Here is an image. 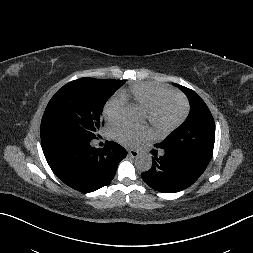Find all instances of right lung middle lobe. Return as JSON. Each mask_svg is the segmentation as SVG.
<instances>
[{
	"instance_id": "right-lung-middle-lobe-1",
	"label": "right lung middle lobe",
	"mask_w": 253,
	"mask_h": 253,
	"mask_svg": "<svg viewBox=\"0 0 253 253\" xmlns=\"http://www.w3.org/2000/svg\"><path fill=\"white\" fill-rule=\"evenodd\" d=\"M124 82L85 77L64 85L46 107L41 121V140L57 136L94 139L104 124L105 103Z\"/></svg>"
}]
</instances>
